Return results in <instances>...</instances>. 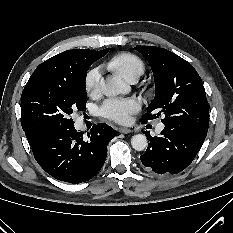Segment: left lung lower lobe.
I'll return each instance as SVG.
<instances>
[{
  "instance_id": "obj_1",
  "label": "left lung lower lobe",
  "mask_w": 233,
  "mask_h": 233,
  "mask_svg": "<svg viewBox=\"0 0 233 233\" xmlns=\"http://www.w3.org/2000/svg\"><path fill=\"white\" fill-rule=\"evenodd\" d=\"M140 157L143 165L157 174H176L184 170L200 150L207 132L188 125H167L159 136L151 137Z\"/></svg>"
}]
</instances>
